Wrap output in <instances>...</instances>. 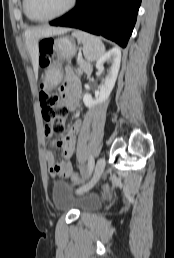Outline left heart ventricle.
I'll return each mask as SVG.
<instances>
[{
	"mask_svg": "<svg viewBox=\"0 0 174 258\" xmlns=\"http://www.w3.org/2000/svg\"><path fill=\"white\" fill-rule=\"evenodd\" d=\"M70 0H29L28 8L33 17L45 18L63 10Z\"/></svg>",
	"mask_w": 174,
	"mask_h": 258,
	"instance_id": "left-heart-ventricle-1",
	"label": "left heart ventricle"
}]
</instances>
